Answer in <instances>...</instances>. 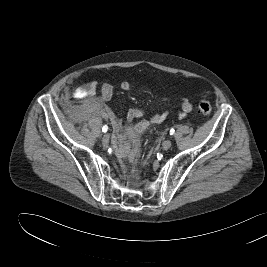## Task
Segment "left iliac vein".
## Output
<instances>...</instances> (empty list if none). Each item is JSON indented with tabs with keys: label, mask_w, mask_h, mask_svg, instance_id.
<instances>
[{
	"label": "left iliac vein",
	"mask_w": 267,
	"mask_h": 267,
	"mask_svg": "<svg viewBox=\"0 0 267 267\" xmlns=\"http://www.w3.org/2000/svg\"><path fill=\"white\" fill-rule=\"evenodd\" d=\"M172 145L171 140L167 139L163 142L162 147L164 150H168Z\"/></svg>",
	"instance_id": "1"
}]
</instances>
